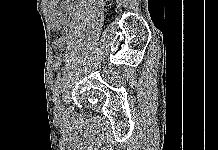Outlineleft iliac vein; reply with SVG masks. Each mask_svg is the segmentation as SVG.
Masks as SVG:
<instances>
[{
    "mask_svg": "<svg viewBox=\"0 0 218 150\" xmlns=\"http://www.w3.org/2000/svg\"><path fill=\"white\" fill-rule=\"evenodd\" d=\"M54 112H55V115H57V116L62 115L64 112V108L62 106L60 99L55 101Z\"/></svg>",
    "mask_w": 218,
    "mask_h": 150,
    "instance_id": "obj_1",
    "label": "left iliac vein"
}]
</instances>
